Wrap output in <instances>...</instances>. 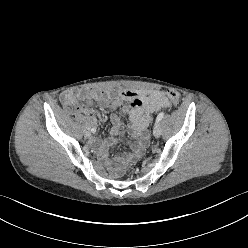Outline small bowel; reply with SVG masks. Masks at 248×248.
<instances>
[{"label":"small bowel","instance_id":"obj_1","mask_svg":"<svg viewBox=\"0 0 248 248\" xmlns=\"http://www.w3.org/2000/svg\"><path fill=\"white\" fill-rule=\"evenodd\" d=\"M60 100L71 113L78 111L89 113L80 107L79 100L88 102L99 101L104 107L112 111L111 121L113 127L109 137L103 142L97 141L92 137L89 138V141L102 152H105L107 148L114 145L117 138L123 134L124 124L122 114H129L132 135L134 137H140L141 141L133 147L130 155L119 159L120 164L127 163L140 153L146 140L144 131L150 123V114L170 107V103L163 93L155 89L123 88L117 91L82 89L65 91L60 95ZM121 100L126 101L127 104L122 106L121 114H116L115 111L119 108Z\"/></svg>","mask_w":248,"mask_h":248}]
</instances>
